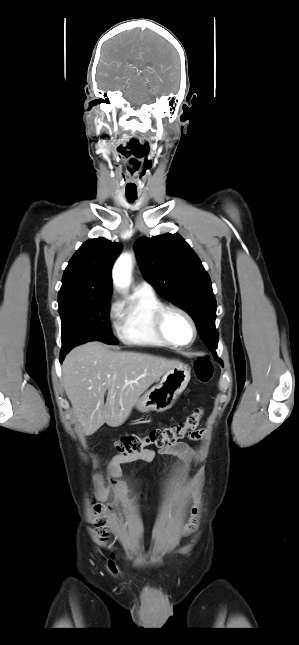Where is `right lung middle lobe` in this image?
Instances as JSON below:
<instances>
[{
	"label": "right lung middle lobe",
	"mask_w": 299,
	"mask_h": 645,
	"mask_svg": "<svg viewBox=\"0 0 299 645\" xmlns=\"http://www.w3.org/2000/svg\"><path fill=\"white\" fill-rule=\"evenodd\" d=\"M111 295L76 298L59 304L62 321V350L65 356L74 346L88 341L117 344L111 333L109 307Z\"/></svg>",
	"instance_id": "obj_1"
}]
</instances>
